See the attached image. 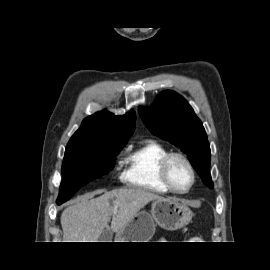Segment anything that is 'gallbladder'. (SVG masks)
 Segmentation results:
<instances>
[{"label": "gallbladder", "instance_id": "1", "mask_svg": "<svg viewBox=\"0 0 270 270\" xmlns=\"http://www.w3.org/2000/svg\"><path fill=\"white\" fill-rule=\"evenodd\" d=\"M113 234L109 229H104L99 236V242H110L112 240Z\"/></svg>", "mask_w": 270, "mask_h": 270}]
</instances>
